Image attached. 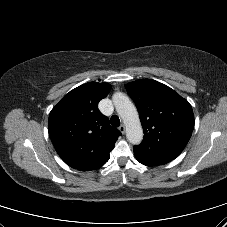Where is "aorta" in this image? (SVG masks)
Here are the masks:
<instances>
[{
	"mask_svg": "<svg viewBox=\"0 0 227 227\" xmlns=\"http://www.w3.org/2000/svg\"><path fill=\"white\" fill-rule=\"evenodd\" d=\"M113 102L117 113L126 126V137L128 141L134 145L140 144L143 139V129L136 107L123 93L114 94Z\"/></svg>",
	"mask_w": 227,
	"mask_h": 227,
	"instance_id": "1",
	"label": "aorta"
}]
</instances>
